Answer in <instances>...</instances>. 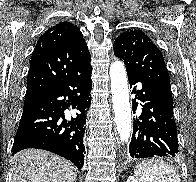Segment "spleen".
<instances>
[{
  "instance_id": "3e777b00",
  "label": "spleen",
  "mask_w": 196,
  "mask_h": 182,
  "mask_svg": "<svg viewBox=\"0 0 196 182\" xmlns=\"http://www.w3.org/2000/svg\"><path fill=\"white\" fill-rule=\"evenodd\" d=\"M134 174L139 182H181L174 166L159 160H149L137 165Z\"/></svg>"
}]
</instances>
